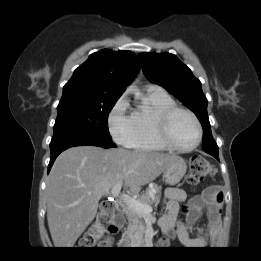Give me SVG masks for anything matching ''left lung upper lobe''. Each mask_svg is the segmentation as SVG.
Returning <instances> with one entry per match:
<instances>
[{
    "label": "left lung upper lobe",
    "instance_id": "obj_1",
    "mask_svg": "<svg viewBox=\"0 0 261 261\" xmlns=\"http://www.w3.org/2000/svg\"><path fill=\"white\" fill-rule=\"evenodd\" d=\"M145 77L164 87L181 100L198 117L203 127V149L218 151L211 133L207 114V98L201 82L175 55L170 53H140L138 55Z\"/></svg>",
    "mask_w": 261,
    "mask_h": 261
}]
</instances>
